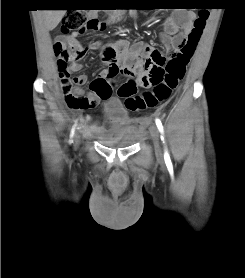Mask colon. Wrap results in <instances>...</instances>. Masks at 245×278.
<instances>
[{
	"label": "colon",
	"instance_id": "5ec220e1",
	"mask_svg": "<svg viewBox=\"0 0 245 278\" xmlns=\"http://www.w3.org/2000/svg\"><path fill=\"white\" fill-rule=\"evenodd\" d=\"M195 8L199 9L197 16L193 19V29L181 46L180 52L169 58L157 54L154 64L144 74L143 79L152 86V90L138 94L136 84L132 79H127L119 85L117 95L125 100V106L128 110L133 112L143 111L158 104H165L170 100L172 92L186 74L195 47L209 17V11L206 7H194L193 9ZM99 26L100 21L98 19L94 17L87 18L83 11H71L62 20L61 32L62 34H69L82 30L96 31ZM53 48L59 58L60 78L63 81H69L64 88V98L68 108L71 110H85L95 107L94 85L90 86L87 93L78 92L73 87L68 72L69 64L82 55L85 48L76 44H68L62 39H58ZM74 80L75 84L83 83L79 78Z\"/></svg>",
	"mask_w": 245,
	"mask_h": 278
}]
</instances>
